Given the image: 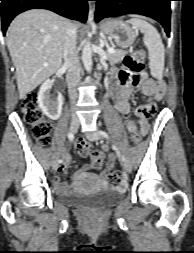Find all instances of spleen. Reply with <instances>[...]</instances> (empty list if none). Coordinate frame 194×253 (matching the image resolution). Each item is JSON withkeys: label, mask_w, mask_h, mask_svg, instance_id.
Wrapping results in <instances>:
<instances>
[{"label": "spleen", "mask_w": 194, "mask_h": 253, "mask_svg": "<svg viewBox=\"0 0 194 253\" xmlns=\"http://www.w3.org/2000/svg\"><path fill=\"white\" fill-rule=\"evenodd\" d=\"M135 31L143 33V43L149 54V67L154 78L162 79L164 70L165 49L160 34L150 23L141 18L129 21Z\"/></svg>", "instance_id": "obj_1"}]
</instances>
